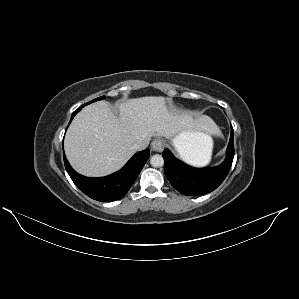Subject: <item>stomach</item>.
Instances as JSON below:
<instances>
[{"label":"stomach","mask_w":299,"mask_h":299,"mask_svg":"<svg viewBox=\"0 0 299 299\" xmlns=\"http://www.w3.org/2000/svg\"><path fill=\"white\" fill-rule=\"evenodd\" d=\"M208 134L201 131L182 130L173 139L172 144L184 156L199 157L212 150V141Z\"/></svg>","instance_id":"obj_1"}]
</instances>
